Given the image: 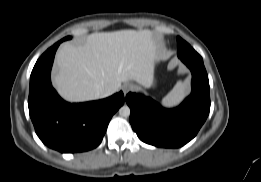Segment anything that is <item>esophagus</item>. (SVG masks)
<instances>
[{"mask_svg": "<svg viewBox=\"0 0 261 182\" xmlns=\"http://www.w3.org/2000/svg\"><path fill=\"white\" fill-rule=\"evenodd\" d=\"M134 89V85L133 84H125L124 86H123V92L125 93V94H127L128 92H130L131 90H133Z\"/></svg>", "mask_w": 261, "mask_h": 182, "instance_id": "1", "label": "esophagus"}]
</instances>
